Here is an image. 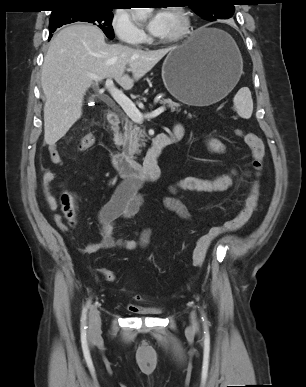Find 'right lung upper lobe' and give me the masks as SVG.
<instances>
[{
	"instance_id": "obj_1",
	"label": "right lung upper lobe",
	"mask_w": 306,
	"mask_h": 387,
	"mask_svg": "<svg viewBox=\"0 0 306 387\" xmlns=\"http://www.w3.org/2000/svg\"><path fill=\"white\" fill-rule=\"evenodd\" d=\"M56 9L52 13L58 12L67 7L74 6H104L111 7L114 0H55Z\"/></svg>"
}]
</instances>
